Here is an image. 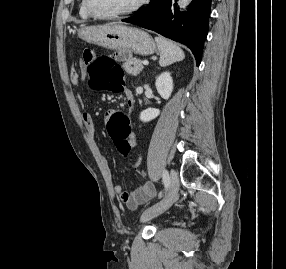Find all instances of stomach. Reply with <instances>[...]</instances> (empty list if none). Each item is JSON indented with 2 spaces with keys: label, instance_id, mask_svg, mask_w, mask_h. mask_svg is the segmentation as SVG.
<instances>
[{
  "label": "stomach",
  "instance_id": "1",
  "mask_svg": "<svg viewBox=\"0 0 286 269\" xmlns=\"http://www.w3.org/2000/svg\"><path fill=\"white\" fill-rule=\"evenodd\" d=\"M81 39L106 49H133V53L147 56L156 51L153 38L136 27L104 24L79 29ZM132 55V54H131Z\"/></svg>",
  "mask_w": 286,
  "mask_h": 269
}]
</instances>
